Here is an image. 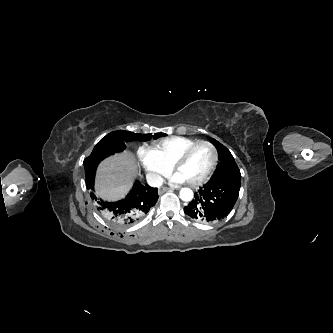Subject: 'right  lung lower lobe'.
Here are the masks:
<instances>
[{"mask_svg": "<svg viewBox=\"0 0 333 333\" xmlns=\"http://www.w3.org/2000/svg\"><path fill=\"white\" fill-rule=\"evenodd\" d=\"M107 156L87 157L84 160L86 185L92 190L90 196L100 214L120 227L129 226L144 217L158 200L157 188L136 181L126 198L117 202H105L94 193V178L97 165Z\"/></svg>", "mask_w": 333, "mask_h": 333, "instance_id": "right-lung-lower-lobe-1", "label": "right lung lower lobe"}]
</instances>
